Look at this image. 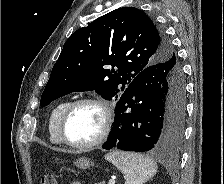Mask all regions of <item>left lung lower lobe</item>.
<instances>
[{
	"mask_svg": "<svg viewBox=\"0 0 224 184\" xmlns=\"http://www.w3.org/2000/svg\"><path fill=\"white\" fill-rule=\"evenodd\" d=\"M185 80L176 59L141 71L124 90L104 149L170 153L181 144L186 106Z\"/></svg>",
	"mask_w": 224,
	"mask_h": 184,
	"instance_id": "0a47b994",
	"label": "left lung lower lobe"
}]
</instances>
